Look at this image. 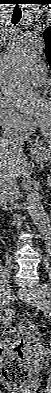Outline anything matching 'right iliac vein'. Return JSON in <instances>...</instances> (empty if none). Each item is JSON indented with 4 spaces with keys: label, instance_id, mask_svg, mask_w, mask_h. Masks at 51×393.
Segmentation results:
<instances>
[{
    "label": "right iliac vein",
    "instance_id": "63e3f726",
    "mask_svg": "<svg viewBox=\"0 0 51 393\" xmlns=\"http://www.w3.org/2000/svg\"><path fill=\"white\" fill-rule=\"evenodd\" d=\"M11 295V286L10 284H6L1 288V292H0V305H1V309H5L9 298Z\"/></svg>",
    "mask_w": 51,
    "mask_h": 393
}]
</instances>
